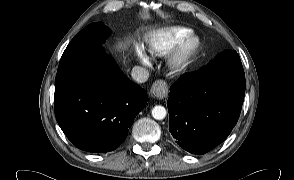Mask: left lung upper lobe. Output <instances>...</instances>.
I'll return each instance as SVG.
<instances>
[{"instance_id":"5c2ea615","label":"left lung upper lobe","mask_w":294,"mask_h":180,"mask_svg":"<svg viewBox=\"0 0 294 180\" xmlns=\"http://www.w3.org/2000/svg\"><path fill=\"white\" fill-rule=\"evenodd\" d=\"M241 64L239 59V54L236 51H224L221 54H219L215 60L208 63L207 65L211 64Z\"/></svg>"}]
</instances>
